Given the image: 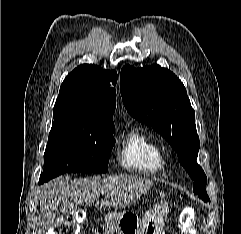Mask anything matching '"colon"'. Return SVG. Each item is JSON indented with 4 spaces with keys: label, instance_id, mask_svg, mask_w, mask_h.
<instances>
[{
    "label": "colon",
    "instance_id": "obj_1",
    "mask_svg": "<svg viewBox=\"0 0 241 234\" xmlns=\"http://www.w3.org/2000/svg\"><path fill=\"white\" fill-rule=\"evenodd\" d=\"M83 212H66L58 217L50 234H79ZM179 229L182 234H197L195 214L191 209L184 210L179 217Z\"/></svg>",
    "mask_w": 241,
    "mask_h": 234
}]
</instances>
